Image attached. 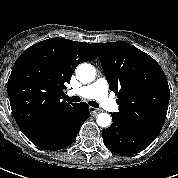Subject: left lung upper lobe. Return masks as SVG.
<instances>
[{
    "label": "left lung upper lobe",
    "instance_id": "left-lung-upper-lobe-1",
    "mask_svg": "<svg viewBox=\"0 0 178 178\" xmlns=\"http://www.w3.org/2000/svg\"><path fill=\"white\" fill-rule=\"evenodd\" d=\"M109 88L117 95L115 118L157 137L170 98L167 78L148 54L123 42L93 43Z\"/></svg>",
    "mask_w": 178,
    "mask_h": 178
}]
</instances>
